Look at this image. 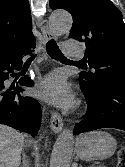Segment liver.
Masks as SVG:
<instances>
[{
	"label": "liver",
	"instance_id": "liver-1",
	"mask_svg": "<svg viewBox=\"0 0 125 167\" xmlns=\"http://www.w3.org/2000/svg\"><path fill=\"white\" fill-rule=\"evenodd\" d=\"M24 135L0 124V167H19Z\"/></svg>",
	"mask_w": 125,
	"mask_h": 167
}]
</instances>
